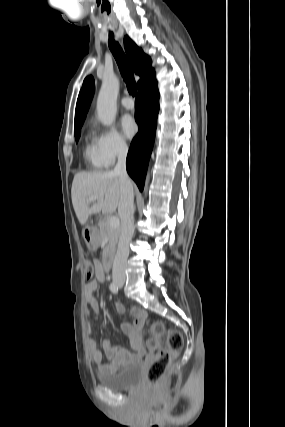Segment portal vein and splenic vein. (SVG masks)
<instances>
[{"mask_svg": "<svg viewBox=\"0 0 285 427\" xmlns=\"http://www.w3.org/2000/svg\"><path fill=\"white\" fill-rule=\"evenodd\" d=\"M96 200H99V197H97V196H91V197H89L87 199V203L90 204L91 202L96 201ZM108 222H109V225L111 227H117L120 224V221H119V219L116 216L110 217L109 220H108Z\"/></svg>", "mask_w": 285, "mask_h": 427, "instance_id": "1", "label": "portal vein and splenic vein"}]
</instances>
